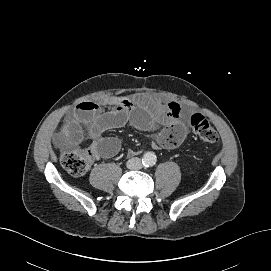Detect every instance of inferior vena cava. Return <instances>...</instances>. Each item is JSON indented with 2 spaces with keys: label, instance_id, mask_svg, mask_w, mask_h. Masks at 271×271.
<instances>
[{
  "label": "inferior vena cava",
  "instance_id": "inferior-vena-cava-1",
  "mask_svg": "<svg viewBox=\"0 0 271 271\" xmlns=\"http://www.w3.org/2000/svg\"><path fill=\"white\" fill-rule=\"evenodd\" d=\"M126 165H127V168H129L131 170H137L142 167L141 160L138 157L129 159L127 161Z\"/></svg>",
  "mask_w": 271,
  "mask_h": 271
}]
</instances>
